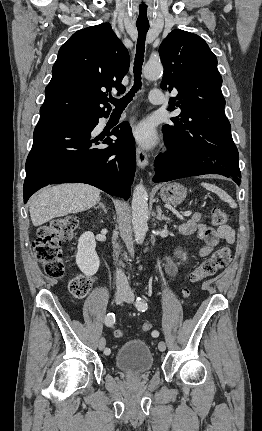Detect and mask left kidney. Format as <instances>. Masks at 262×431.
<instances>
[{
    "instance_id": "left-kidney-1",
    "label": "left kidney",
    "mask_w": 262,
    "mask_h": 431,
    "mask_svg": "<svg viewBox=\"0 0 262 431\" xmlns=\"http://www.w3.org/2000/svg\"><path fill=\"white\" fill-rule=\"evenodd\" d=\"M186 259V256H185V254H184V259L183 260H185Z\"/></svg>"
}]
</instances>
